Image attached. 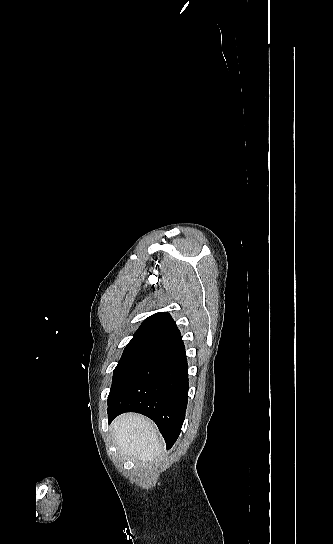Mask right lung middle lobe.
Instances as JSON below:
<instances>
[{
    "label": "right lung middle lobe",
    "mask_w": 333,
    "mask_h": 544,
    "mask_svg": "<svg viewBox=\"0 0 333 544\" xmlns=\"http://www.w3.org/2000/svg\"><path fill=\"white\" fill-rule=\"evenodd\" d=\"M151 348H128L125 349L118 365L113 372V380L108 401L128 381L137 367L147 358Z\"/></svg>",
    "instance_id": "1"
}]
</instances>
